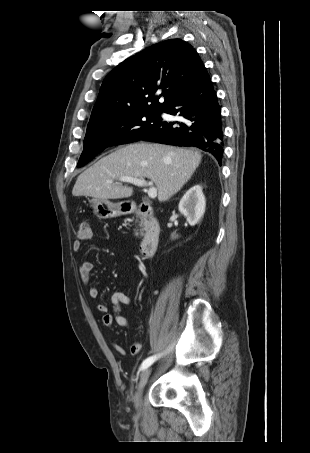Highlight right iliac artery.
Returning <instances> with one entry per match:
<instances>
[{
  "label": "right iliac artery",
  "mask_w": 310,
  "mask_h": 453,
  "mask_svg": "<svg viewBox=\"0 0 310 453\" xmlns=\"http://www.w3.org/2000/svg\"><path fill=\"white\" fill-rule=\"evenodd\" d=\"M158 357L156 355L154 356H150L148 358H146L142 364H141V367H140V370H144L146 368H148L151 364H153L155 362V360L157 359Z\"/></svg>",
  "instance_id": "obj_1"
}]
</instances>
